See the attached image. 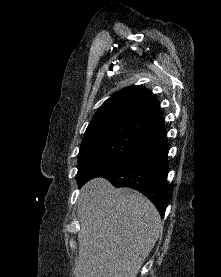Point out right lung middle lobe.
Here are the masks:
<instances>
[{
	"label": "right lung middle lobe",
	"mask_w": 221,
	"mask_h": 277,
	"mask_svg": "<svg viewBox=\"0 0 221 277\" xmlns=\"http://www.w3.org/2000/svg\"><path fill=\"white\" fill-rule=\"evenodd\" d=\"M144 135L139 123L104 125L86 130L78 155V183L118 164Z\"/></svg>",
	"instance_id": "right-lung-middle-lobe-1"
}]
</instances>
